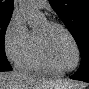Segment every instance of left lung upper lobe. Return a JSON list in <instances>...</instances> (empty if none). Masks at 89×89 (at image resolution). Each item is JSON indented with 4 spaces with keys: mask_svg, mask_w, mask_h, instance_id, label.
I'll return each mask as SVG.
<instances>
[{
    "mask_svg": "<svg viewBox=\"0 0 89 89\" xmlns=\"http://www.w3.org/2000/svg\"><path fill=\"white\" fill-rule=\"evenodd\" d=\"M74 37L81 60L89 58V0H49Z\"/></svg>",
    "mask_w": 89,
    "mask_h": 89,
    "instance_id": "left-lung-upper-lobe-1",
    "label": "left lung upper lobe"
}]
</instances>
